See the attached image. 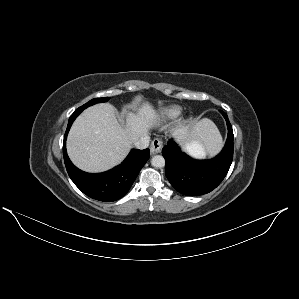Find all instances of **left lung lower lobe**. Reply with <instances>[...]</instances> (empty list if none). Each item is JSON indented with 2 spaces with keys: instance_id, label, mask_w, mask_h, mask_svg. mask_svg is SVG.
<instances>
[{
  "instance_id": "left-lung-lower-lobe-1",
  "label": "left lung lower lobe",
  "mask_w": 299,
  "mask_h": 299,
  "mask_svg": "<svg viewBox=\"0 0 299 299\" xmlns=\"http://www.w3.org/2000/svg\"><path fill=\"white\" fill-rule=\"evenodd\" d=\"M227 122L228 137L222 151L211 160H195L183 153L169 140L162 150L165 174L171 185L180 193L198 196L215 189L226 176L233 159V130L226 113L220 111Z\"/></svg>"
}]
</instances>
